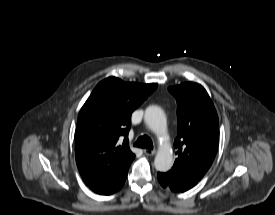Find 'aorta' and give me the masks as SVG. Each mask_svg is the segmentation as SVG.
<instances>
[{
    "mask_svg": "<svg viewBox=\"0 0 275 215\" xmlns=\"http://www.w3.org/2000/svg\"><path fill=\"white\" fill-rule=\"evenodd\" d=\"M144 121L157 136L167 135V120L164 111L160 107H147ZM154 166L160 172H166L172 168L173 155L169 145L160 147L154 159Z\"/></svg>",
    "mask_w": 275,
    "mask_h": 215,
    "instance_id": "obj_1",
    "label": "aorta"
}]
</instances>
